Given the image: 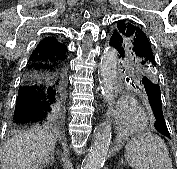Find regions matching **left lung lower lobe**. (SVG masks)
Masks as SVG:
<instances>
[{"instance_id": "obj_1", "label": "left lung lower lobe", "mask_w": 177, "mask_h": 169, "mask_svg": "<svg viewBox=\"0 0 177 169\" xmlns=\"http://www.w3.org/2000/svg\"><path fill=\"white\" fill-rule=\"evenodd\" d=\"M140 89L147 94L152 112L155 116L154 128L164 136L171 139L167 129L165 118L162 111L160 87L157 83L142 74V79L139 83Z\"/></svg>"}]
</instances>
